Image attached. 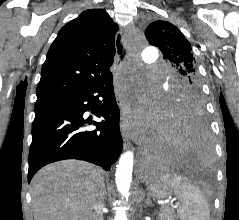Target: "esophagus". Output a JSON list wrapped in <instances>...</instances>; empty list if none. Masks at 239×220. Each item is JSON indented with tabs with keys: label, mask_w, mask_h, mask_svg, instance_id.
<instances>
[{
	"label": "esophagus",
	"mask_w": 239,
	"mask_h": 220,
	"mask_svg": "<svg viewBox=\"0 0 239 220\" xmlns=\"http://www.w3.org/2000/svg\"><path fill=\"white\" fill-rule=\"evenodd\" d=\"M118 34H123V29H118ZM121 37L116 36L115 37V46H116V59L115 66L117 69L114 70L112 73V92H121L122 83H121V75L122 72L118 69L123 66V61L129 56V53L125 51L124 49H121V47H124V42H121ZM115 102H117V107L120 110V116H121V132L122 136L125 142V145L128 146L129 144V137L128 134L125 131V122H126V112H125V106H126V100L124 99V93H115Z\"/></svg>",
	"instance_id": "esophagus-1"
}]
</instances>
